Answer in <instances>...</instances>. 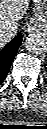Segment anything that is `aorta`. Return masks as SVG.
<instances>
[{
	"label": "aorta",
	"instance_id": "762f6f07",
	"mask_svg": "<svg viewBox=\"0 0 47 129\" xmlns=\"http://www.w3.org/2000/svg\"><path fill=\"white\" fill-rule=\"evenodd\" d=\"M26 49L33 54H41L47 50V39L40 33L29 34L25 39Z\"/></svg>",
	"mask_w": 47,
	"mask_h": 129
}]
</instances>
